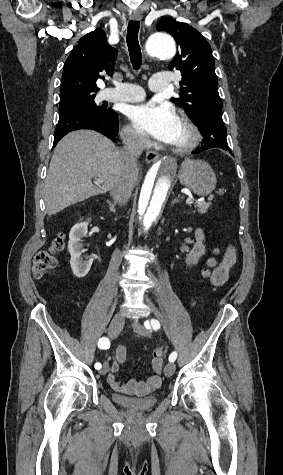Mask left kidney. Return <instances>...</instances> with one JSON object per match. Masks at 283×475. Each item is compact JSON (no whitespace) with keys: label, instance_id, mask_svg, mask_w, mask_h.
Segmentation results:
<instances>
[{"label":"left kidney","instance_id":"1","mask_svg":"<svg viewBox=\"0 0 283 475\" xmlns=\"http://www.w3.org/2000/svg\"><path fill=\"white\" fill-rule=\"evenodd\" d=\"M196 243L193 245V249L189 251L185 263L188 265H192V263H198L199 257L205 253V245L203 243L205 234L201 228H198L195 232Z\"/></svg>","mask_w":283,"mask_h":475}]
</instances>
